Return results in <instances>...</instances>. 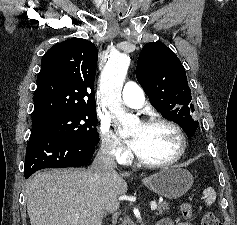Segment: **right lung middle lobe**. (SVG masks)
Instances as JSON below:
<instances>
[{"label": "right lung middle lobe", "instance_id": "1", "mask_svg": "<svg viewBox=\"0 0 237 225\" xmlns=\"http://www.w3.org/2000/svg\"><path fill=\"white\" fill-rule=\"evenodd\" d=\"M96 125V109H88L32 121V131L62 135L96 146L99 142Z\"/></svg>", "mask_w": 237, "mask_h": 225}]
</instances>
